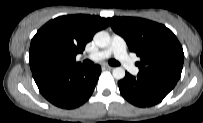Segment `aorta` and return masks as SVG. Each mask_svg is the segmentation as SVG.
<instances>
[{"mask_svg":"<svg viewBox=\"0 0 203 123\" xmlns=\"http://www.w3.org/2000/svg\"><path fill=\"white\" fill-rule=\"evenodd\" d=\"M110 35L106 31H99L94 35V42L100 48H105L110 44ZM113 77L117 80L125 77V70L122 67H116L113 69Z\"/></svg>","mask_w":203,"mask_h":123,"instance_id":"762f6f07","label":"aorta"}]
</instances>
